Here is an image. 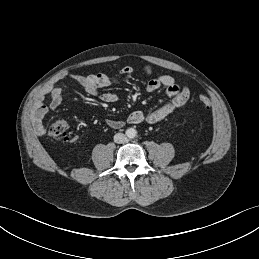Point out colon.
<instances>
[{
    "label": "colon",
    "instance_id": "5ec220e1",
    "mask_svg": "<svg viewBox=\"0 0 259 259\" xmlns=\"http://www.w3.org/2000/svg\"><path fill=\"white\" fill-rule=\"evenodd\" d=\"M199 101L205 109L210 108V101L207 97L201 96L199 98ZM68 129L69 126L66 121L58 120L50 125L48 134L51 138L55 140L67 143L70 139Z\"/></svg>",
    "mask_w": 259,
    "mask_h": 259
}]
</instances>
